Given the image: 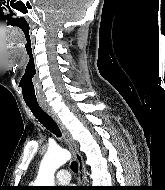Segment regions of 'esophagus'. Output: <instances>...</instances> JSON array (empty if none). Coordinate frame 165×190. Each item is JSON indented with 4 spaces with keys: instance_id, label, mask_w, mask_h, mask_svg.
<instances>
[{
    "instance_id": "esophagus-1",
    "label": "esophagus",
    "mask_w": 165,
    "mask_h": 190,
    "mask_svg": "<svg viewBox=\"0 0 165 190\" xmlns=\"http://www.w3.org/2000/svg\"><path fill=\"white\" fill-rule=\"evenodd\" d=\"M42 109L57 123V125L60 127L64 140L66 144L68 145L69 149L73 153L75 159L78 163V170H79V185L84 186L86 184V177H85V169L83 164V159L81 154L78 151L77 145L75 141L72 139L70 133L67 131V129L63 126L58 116L54 113V111L47 106L46 104H41Z\"/></svg>"
}]
</instances>
